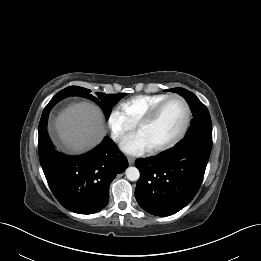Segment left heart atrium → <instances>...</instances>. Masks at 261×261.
Returning a JSON list of instances; mask_svg holds the SVG:
<instances>
[{
  "label": "left heart atrium",
  "instance_id": "39dd6f15",
  "mask_svg": "<svg viewBox=\"0 0 261 261\" xmlns=\"http://www.w3.org/2000/svg\"><path fill=\"white\" fill-rule=\"evenodd\" d=\"M149 146L140 133L125 138L121 143V149L131 155H140L149 150Z\"/></svg>",
  "mask_w": 261,
  "mask_h": 261
}]
</instances>
